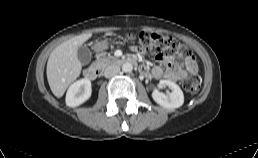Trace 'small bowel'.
Returning <instances> with one entry per match:
<instances>
[{
    "label": "small bowel",
    "mask_w": 258,
    "mask_h": 158,
    "mask_svg": "<svg viewBox=\"0 0 258 158\" xmlns=\"http://www.w3.org/2000/svg\"><path fill=\"white\" fill-rule=\"evenodd\" d=\"M141 53L145 52L141 51ZM157 60L161 65L154 66L151 70L143 66L142 73L154 79H165L171 82H176L184 79L188 74L195 73L197 71V63L193 56L186 60L185 69H182L169 55L166 54H158Z\"/></svg>",
    "instance_id": "c3829d8e"
}]
</instances>
